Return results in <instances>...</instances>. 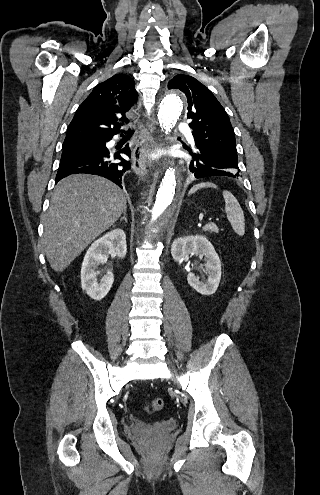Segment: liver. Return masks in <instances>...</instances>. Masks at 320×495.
<instances>
[{
  "label": "liver",
  "instance_id": "1",
  "mask_svg": "<svg viewBox=\"0 0 320 495\" xmlns=\"http://www.w3.org/2000/svg\"><path fill=\"white\" fill-rule=\"evenodd\" d=\"M126 209L125 193L104 178L73 174L60 180L44 217L42 243L51 268L65 270Z\"/></svg>",
  "mask_w": 320,
  "mask_h": 495
}]
</instances>
